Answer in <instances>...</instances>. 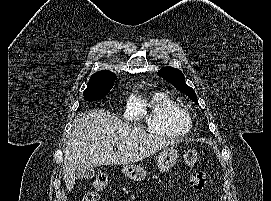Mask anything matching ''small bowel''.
<instances>
[{
    "mask_svg": "<svg viewBox=\"0 0 271 201\" xmlns=\"http://www.w3.org/2000/svg\"><path fill=\"white\" fill-rule=\"evenodd\" d=\"M207 178L204 172L198 171L193 173L189 178V185L196 191H201L205 188Z\"/></svg>",
    "mask_w": 271,
    "mask_h": 201,
    "instance_id": "1",
    "label": "small bowel"
}]
</instances>
